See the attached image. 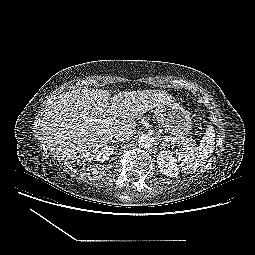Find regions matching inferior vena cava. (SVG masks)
<instances>
[{
	"label": "inferior vena cava",
	"mask_w": 255,
	"mask_h": 255,
	"mask_svg": "<svg viewBox=\"0 0 255 255\" xmlns=\"http://www.w3.org/2000/svg\"><path fill=\"white\" fill-rule=\"evenodd\" d=\"M134 131L132 129H122L115 133V138L118 141L124 142L131 139L133 136Z\"/></svg>",
	"instance_id": "inferior-vena-cava-1"
}]
</instances>
